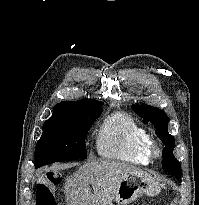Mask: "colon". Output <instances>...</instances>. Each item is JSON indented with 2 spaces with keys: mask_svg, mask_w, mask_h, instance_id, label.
I'll use <instances>...</instances> for the list:
<instances>
[{
  "mask_svg": "<svg viewBox=\"0 0 199 205\" xmlns=\"http://www.w3.org/2000/svg\"><path fill=\"white\" fill-rule=\"evenodd\" d=\"M58 182L59 178L56 175L48 174L45 180L38 184L36 194L38 205H57L52 186Z\"/></svg>",
  "mask_w": 199,
  "mask_h": 205,
  "instance_id": "obj_1",
  "label": "colon"
}]
</instances>
